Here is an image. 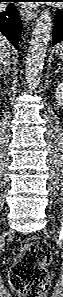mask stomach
I'll use <instances>...</instances> for the list:
<instances>
[{
  "label": "stomach",
  "mask_w": 63,
  "mask_h": 297,
  "mask_svg": "<svg viewBox=\"0 0 63 297\" xmlns=\"http://www.w3.org/2000/svg\"><path fill=\"white\" fill-rule=\"evenodd\" d=\"M56 52L60 57H63V47L62 46H59L57 48Z\"/></svg>",
  "instance_id": "obj_1"
}]
</instances>
